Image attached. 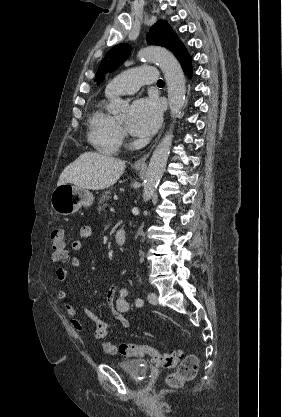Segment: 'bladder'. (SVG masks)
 I'll list each match as a JSON object with an SVG mask.
<instances>
[{"label": "bladder", "instance_id": "obj_1", "mask_svg": "<svg viewBox=\"0 0 282 417\" xmlns=\"http://www.w3.org/2000/svg\"><path fill=\"white\" fill-rule=\"evenodd\" d=\"M115 365L134 382L144 380L150 372L149 364L144 359L123 360L117 362Z\"/></svg>", "mask_w": 282, "mask_h": 417}]
</instances>
